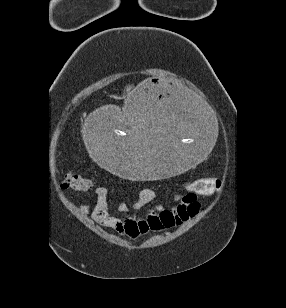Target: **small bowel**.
Returning a JSON list of instances; mask_svg holds the SVG:
<instances>
[{
	"label": "small bowel",
	"instance_id": "1",
	"mask_svg": "<svg viewBox=\"0 0 286 308\" xmlns=\"http://www.w3.org/2000/svg\"><path fill=\"white\" fill-rule=\"evenodd\" d=\"M107 193L105 187L96 188L95 204L81 205L78 210L82 213H90L95 223L111 228L131 240H137L150 232H160L181 226L196 216L200 210L198 193L192 189V183L187 185L185 193L178 198L175 206L172 208L157 207L145 217L140 216L138 211L155 199L156 192L153 189H141L131 206L125 202L118 203L116 211L119 214H127L131 209L135 210L136 213L133 216L126 217L110 211L106 201Z\"/></svg>",
	"mask_w": 286,
	"mask_h": 308
}]
</instances>
